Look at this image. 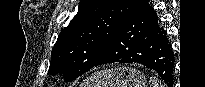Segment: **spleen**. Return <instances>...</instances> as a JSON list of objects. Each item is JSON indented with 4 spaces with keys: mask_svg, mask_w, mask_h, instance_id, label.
I'll use <instances>...</instances> for the list:
<instances>
[{
    "mask_svg": "<svg viewBox=\"0 0 205 87\" xmlns=\"http://www.w3.org/2000/svg\"><path fill=\"white\" fill-rule=\"evenodd\" d=\"M150 85L151 87H163V84L153 76L150 78Z\"/></svg>",
    "mask_w": 205,
    "mask_h": 87,
    "instance_id": "spleen-1",
    "label": "spleen"
}]
</instances>
